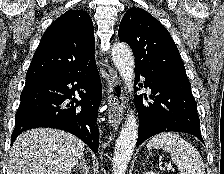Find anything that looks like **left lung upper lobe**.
<instances>
[{"instance_id":"1","label":"left lung upper lobe","mask_w":224,"mask_h":174,"mask_svg":"<svg viewBox=\"0 0 224 174\" xmlns=\"http://www.w3.org/2000/svg\"><path fill=\"white\" fill-rule=\"evenodd\" d=\"M119 39L130 45L135 69L142 72L188 80L185 66L171 35L150 13L130 8L119 26Z\"/></svg>"}]
</instances>
